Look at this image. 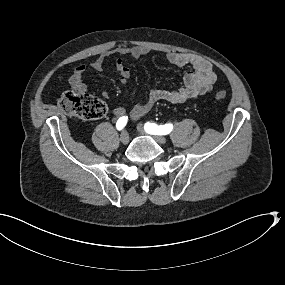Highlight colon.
Wrapping results in <instances>:
<instances>
[{"label": "colon", "instance_id": "1", "mask_svg": "<svg viewBox=\"0 0 285 285\" xmlns=\"http://www.w3.org/2000/svg\"><path fill=\"white\" fill-rule=\"evenodd\" d=\"M226 96L223 90L215 93V99L220 102L224 101ZM58 105L67 115L81 120L99 119L107 113V107L102 100L82 91L71 90L64 93Z\"/></svg>", "mask_w": 285, "mask_h": 285}]
</instances>
